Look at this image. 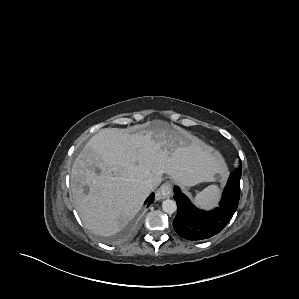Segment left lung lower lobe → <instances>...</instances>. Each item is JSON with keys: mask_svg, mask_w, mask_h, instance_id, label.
Masks as SVG:
<instances>
[{"mask_svg": "<svg viewBox=\"0 0 299 299\" xmlns=\"http://www.w3.org/2000/svg\"><path fill=\"white\" fill-rule=\"evenodd\" d=\"M241 173L235 170L230 174L219 207L212 211L197 209L179 187H174L173 198L177 202L178 211L173 227L180 237L188 240L207 239L218 234L228 224L239 203Z\"/></svg>", "mask_w": 299, "mask_h": 299, "instance_id": "obj_1", "label": "left lung lower lobe"}]
</instances>
